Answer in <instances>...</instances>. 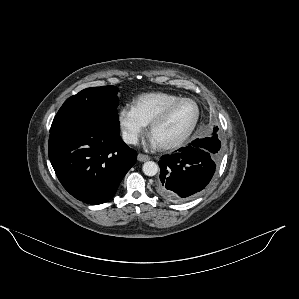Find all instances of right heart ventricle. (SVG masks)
<instances>
[{
	"instance_id": "obj_1",
	"label": "right heart ventricle",
	"mask_w": 299,
	"mask_h": 299,
	"mask_svg": "<svg viewBox=\"0 0 299 299\" xmlns=\"http://www.w3.org/2000/svg\"><path fill=\"white\" fill-rule=\"evenodd\" d=\"M178 98L180 96L171 93L150 92L136 97L131 106L137 116L148 125L164 107Z\"/></svg>"
}]
</instances>
